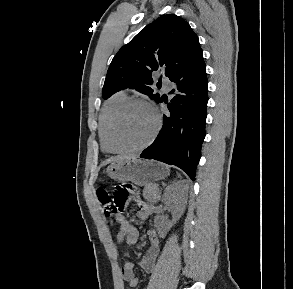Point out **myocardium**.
<instances>
[{"label": "myocardium", "instance_id": "f54148a6", "mask_svg": "<svg viewBox=\"0 0 293 289\" xmlns=\"http://www.w3.org/2000/svg\"><path fill=\"white\" fill-rule=\"evenodd\" d=\"M136 104L145 105L151 109V111L153 112L154 117H155L154 130L151 133L150 137L143 144H141L137 147H133V148L120 147L116 144V142L114 140V131H115L116 122L118 121V119L123 115V113L128 108H130L131 106L136 105ZM161 126H162L161 115L158 112V110L151 103H149L146 100L140 99V98L128 99L115 111L112 118L110 119L107 134H106V141H107V145H108V150L111 153H115V154H126V153L139 152V151L147 148L148 146H150L154 142V140L156 139V137L158 136V134L161 130Z\"/></svg>", "mask_w": 293, "mask_h": 289}]
</instances>
